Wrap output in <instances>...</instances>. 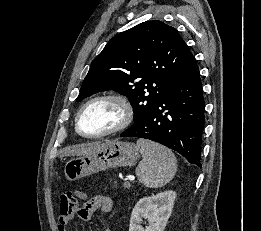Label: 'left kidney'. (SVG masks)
Wrapping results in <instances>:
<instances>
[{
    "label": "left kidney",
    "instance_id": "5707ae66",
    "mask_svg": "<svg viewBox=\"0 0 261 231\" xmlns=\"http://www.w3.org/2000/svg\"><path fill=\"white\" fill-rule=\"evenodd\" d=\"M176 193L165 191L157 195L141 198L133 208L129 231H163L171 215ZM145 218L149 225H141Z\"/></svg>",
    "mask_w": 261,
    "mask_h": 231
}]
</instances>
